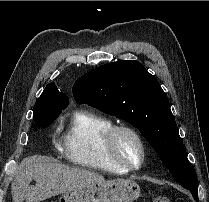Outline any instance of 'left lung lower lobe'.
Listing matches in <instances>:
<instances>
[{
	"instance_id": "obj_1",
	"label": "left lung lower lobe",
	"mask_w": 209,
	"mask_h": 202,
	"mask_svg": "<svg viewBox=\"0 0 209 202\" xmlns=\"http://www.w3.org/2000/svg\"><path fill=\"white\" fill-rule=\"evenodd\" d=\"M192 195H193V198H194L196 201H199V199H198V192H194V193H192Z\"/></svg>"
}]
</instances>
